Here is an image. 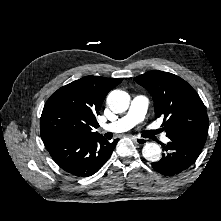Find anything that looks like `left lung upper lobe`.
Segmentation results:
<instances>
[{"label": "left lung upper lobe", "mask_w": 221, "mask_h": 221, "mask_svg": "<svg viewBox=\"0 0 221 221\" xmlns=\"http://www.w3.org/2000/svg\"><path fill=\"white\" fill-rule=\"evenodd\" d=\"M134 80L153 97L157 117L168 138L207 133L206 108L197 92L182 78L159 70L148 71Z\"/></svg>", "instance_id": "left-lung-upper-lobe-1"}]
</instances>
